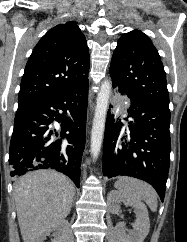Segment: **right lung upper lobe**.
Returning a JSON list of instances; mask_svg holds the SVG:
<instances>
[{"mask_svg":"<svg viewBox=\"0 0 187 242\" xmlns=\"http://www.w3.org/2000/svg\"><path fill=\"white\" fill-rule=\"evenodd\" d=\"M89 51L76 22L59 24L37 43L26 64L18 106L88 81Z\"/></svg>","mask_w":187,"mask_h":242,"instance_id":"obj_1","label":"right lung upper lobe"}]
</instances>
